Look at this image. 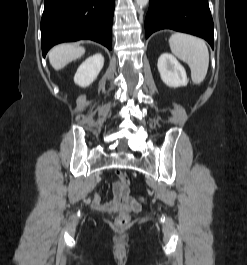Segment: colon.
I'll return each mask as SVG.
<instances>
[{
	"mask_svg": "<svg viewBox=\"0 0 247 265\" xmlns=\"http://www.w3.org/2000/svg\"><path fill=\"white\" fill-rule=\"evenodd\" d=\"M118 184L123 192L129 191L130 182L126 174L124 173L118 174ZM129 221L130 217L127 214H120L115 220V225L117 228L123 229L129 224Z\"/></svg>",
	"mask_w": 247,
	"mask_h": 265,
	"instance_id": "5ec220e1",
	"label": "colon"
}]
</instances>
